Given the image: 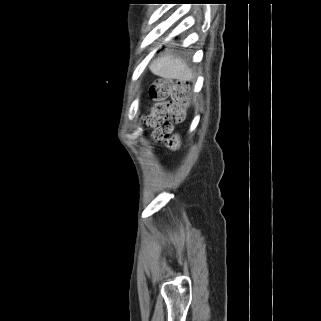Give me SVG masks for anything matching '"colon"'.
I'll use <instances>...</instances> for the list:
<instances>
[{"instance_id":"5ec220e1","label":"colon","mask_w":321,"mask_h":321,"mask_svg":"<svg viewBox=\"0 0 321 321\" xmlns=\"http://www.w3.org/2000/svg\"><path fill=\"white\" fill-rule=\"evenodd\" d=\"M190 85L186 81L158 80L150 88L149 94L155 105L149 123L156 129L159 138L175 148L179 143L173 124L181 123L189 105Z\"/></svg>"}]
</instances>
